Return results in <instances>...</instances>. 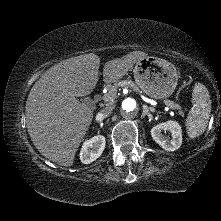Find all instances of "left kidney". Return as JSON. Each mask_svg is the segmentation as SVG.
<instances>
[{"label": "left kidney", "mask_w": 221, "mask_h": 221, "mask_svg": "<svg viewBox=\"0 0 221 221\" xmlns=\"http://www.w3.org/2000/svg\"><path fill=\"white\" fill-rule=\"evenodd\" d=\"M162 131L170 132L171 138L165 137ZM153 140L167 151H175L182 144V131L178 122L167 121L154 126L151 129Z\"/></svg>", "instance_id": "obj_1"}]
</instances>
